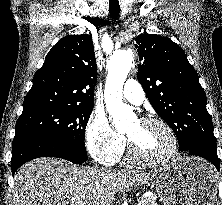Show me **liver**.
Here are the masks:
<instances>
[{
    "instance_id": "1",
    "label": "liver",
    "mask_w": 222,
    "mask_h": 205,
    "mask_svg": "<svg viewBox=\"0 0 222 205\" xmlns=\"http://www.w3.org/2000/svg\"><path fill=\"white\" fill-rule=\"evenodd\" d=\"M152 173L79 169L70 162L34 159L14 176V205H109L116 192L147 184Z\"/></svg>"
}]
</instances>
